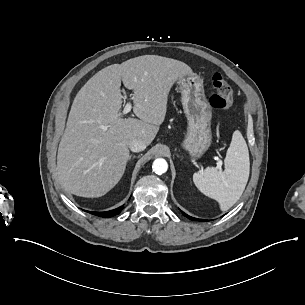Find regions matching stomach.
<instances>
[{
	"label": "stomach",
	"mask_w": 305,
	"mask_h": 305,
	"mask_svg": "<svg viewBox=\"0 0 305 305\" xmlns=\"http://www.w3.org/2000/svg\"><path fill=\"white\" fill-rule=\"evenodd\" d=\"M184 113L187 117V134L182 147L192 158H200L212 140L210 122L212 107L204 94L203 80L193 73L178 79Z\"/></svg>",
	"instance_id": "1"
}]
</instances>
